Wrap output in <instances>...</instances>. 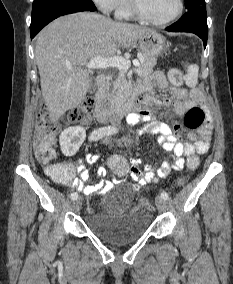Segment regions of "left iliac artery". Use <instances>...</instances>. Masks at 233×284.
<instances>
[{
	"mask_svg": "<svg viewBox=\"0 0 233 284\" xmlns=\"http://www.w3.org/2000/svg\"><path fill=\"white\" fill-rule=\"evenodd\" d=\"M161 198L164 199V200H167V199L169 198L168 193L165 192V191H163V192L161 193Z\"/></svg>",
	"mask_w": 233,
	"mask_h": 284,
	"instance_id": "left-iliac-artery-1",
	"label": "left iliac artery"
}]
</instances>
